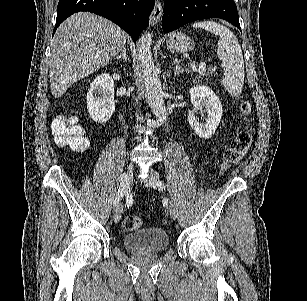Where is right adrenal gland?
Here are the masks:
<instances>
[{
	"label": "right adrenal gland",
	"mask_w": 307,
	"mask_h": 301,
	"mask_svg": "<svg viewBox=\"0 0 307 301\" xmlns=\"http://www.w3.org/2000/svg\"><path fill=\"white\" fill-rule=\"evenodd\" d=\"M119 58H123L124 62H127L128 58L126 56V46L123 48L122 52L118 54V56H115V60H119Z\"/></svg>",
	"instance_id": "2a0ac1e0"
}]
</instances>
